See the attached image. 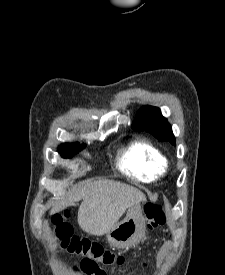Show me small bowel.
Segmentation results:
<instances>
[{
	"instance_id": "c3829d8e",
	"label": "small bowel",
	"mask_w": 225,
	"mask_h": 275,
	"mask_svg": "<svg viewBox=\"0 0 225 275\" xmlns=\"http://www.w3.org/2000/svg\"><path fill=\"white\" fill-rule=\"evenodd\" d=\"M99 275H107V274L105 273V271L101 270Z\"/></svg>"
}]
</instances>
